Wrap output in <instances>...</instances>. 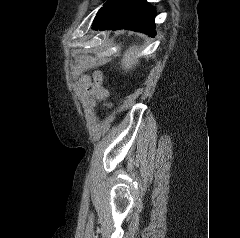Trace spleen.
<instances>
[{"mask_svg":"<svg viewBox=\"0 0 240 238\" xmlns=\"http://www.w3.org/2000/svg\"><path fill=\"white\" fill-rule=\"evenodd\" d=\"M139 49L137 46H131L129 49H127L123 55V58L121 60V66L122 69L125 71H128L132 68H134L138 64V53Z\"/></svg>","mask_w":240,"mask_h":238,"instance_id":"1","label":"spleen"}]
</instances>
